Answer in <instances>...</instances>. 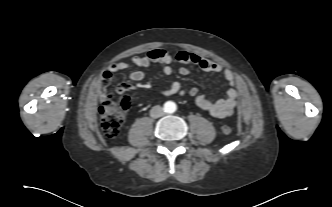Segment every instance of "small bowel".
<instances>
[{"instance_id":"obj_1","label":"small bowel","mask_w":332,"mask_h":207,"mask_svg":"<svg viewBox=\"0 0 332 207\" xmlns=\"http://www.w3.org/2000/svg\"><path fill=\"white\" fill-rule=\"evenodd\" d=\"M174 60L184 64H194L206 72L222 74L224 79L229 84V87L226 89V97L224 99L212 101L206 95L200 94L198 88H182L180 83L174 79L171 80L168 88H164L159 91L161 95L169 96L177 93L181 95L187 94L194 99L198 108L216 118H225L233 113L238 96L237 90L234 86V73L229 69H224L216 62L194 53L181 51L173 57L166 50L161 48L150 50L144 56H135L132 58V65L138 67L139 70L132 71L129 74V79L132 81L143 80L145 77L144 70L148 69L153 63L163 65L164 74L171 77L173 74L171 64ZM130 67V64L123 61L112 63L109 68L103 72L101 82L104 83L109 81L113 73L127 70ZM179 73L181 75H187L189 70L186 67H181L179 69Z\"/></svg>"}]
</instances>
